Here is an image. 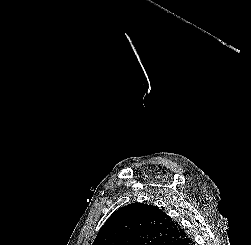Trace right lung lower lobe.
I'll return each mask as SVG.
<instances>
[{
    "mask_svg": "<svg viewBox=\"0 0 251 245\" xmlns=\"http://www.w3.org/2000/svg\"><path fill=\"white\" fill-rule=\"evenodd\" d=\"M172 245H194L193 240L186 234L184 237L173 243Z\"/></svg>",
    "mask_w": 251,
    "mask_h": 245,
    "instance_id": "98d812e1",
    "label": "right lung lower lobe"
}]
</instances>
